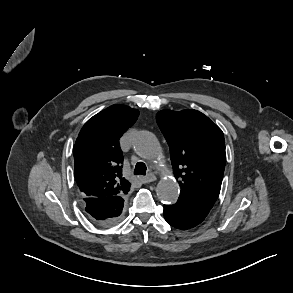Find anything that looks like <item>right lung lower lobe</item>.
I'll use <instances>...</instances> for the list:
<instances>
[{
	"mask_svg": "<svg viewBox=\"0 0 293 293\" xmlns=\"http://www.w3.org/2000/svg\"><path fill=\"white\" fill-rule=\"evenodd\" d=\"M84 201L89 219L104 226L117 223L124 206L123 196L85 198Z\"/></svg>",
	"mask_w": 293,
	"mask_h": 293,
	"instance_id": "98d812e1",
	"label": "right lung lower lobe"
}]
</instances>
